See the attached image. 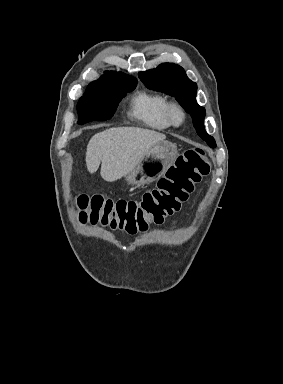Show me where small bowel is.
Listing matches in <instances>:
<instances>
[{
	"label": "small bowel",
	"instance_id": "obj_1",
	"mask_svg": "<svg viewBox=\"0 0 283 384\" xmlns=\"http://www.w3.org/2000/svg\"><path fill=\"white\" fill-rule=\"evenodd\" d=\"M175 223H176V221L172 222V224L169 227H172Z\"/></svg>",
	"mask_w": 283,
	"mask_h": 384
}]
</instances>
